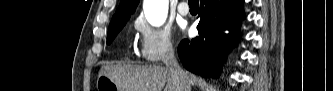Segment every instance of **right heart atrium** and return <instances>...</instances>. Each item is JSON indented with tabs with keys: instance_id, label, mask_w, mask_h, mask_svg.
<instances>
[{
	"instance_id": "d8ad5b80",
	"label": "right heart atrium",
	"mask_w": 333,
	"mask_h": 91,
	"mask_svg": "<svg viewBox=\"0 0 333 91\" xmlns=\"http://www.w3.org/2000/svg\"><path fill=\"white\" fill-rule=\"evenodd\" d=\"M134 28L140 36V54L145 61L160 63L174 54L175 42L169 28L152 26L142 17L135 20Z\"/></svg>"
}]
</instances>
